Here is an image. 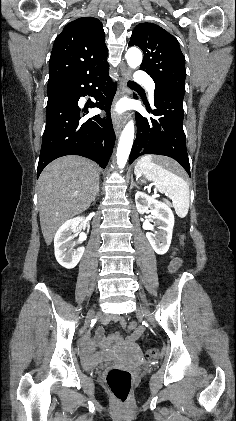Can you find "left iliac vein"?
<instances>
[{
	"label": "left iliac vein",
	"mask_w": 236,
	"mask_h": 421,
	"mask_svg": "<svg viewBox=\"0 0 236 421\" xmlns=\"http://www.w3.org/2000/svg\"><path fill=\"white\" fill-rule=\"evenodd\" d=\"M139 310H143L145 312V316L147 320L152 324V326H155V320L152 314L150 313L149 309L147 308V306L143 304L142 306L139 307Z\"/></svg>",
	"instance_id": "1"
}]
</instances>
